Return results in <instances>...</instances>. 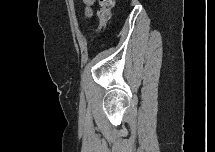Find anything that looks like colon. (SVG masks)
Here are the masks:
<instances>
[{
    "label": "colon",
    "instance_id": "obj_1",
    "mask_svg": "<svg viewBox=\"0 0 215 152\" xmlns=\"http://www.w3.org/2000/svg\"><path fill=\"white\" fill-rule=\"evenodd\" d=\"M93 4V0H84L85 13L90 15V7ZM114 6V0H99V9L97 12L98 25L94 29L95 33H100L104 30L108 21L111 18V11Z\"/></svg>",
    "mask_w": 215,
    "mask_h": 152
}]
</instances>
